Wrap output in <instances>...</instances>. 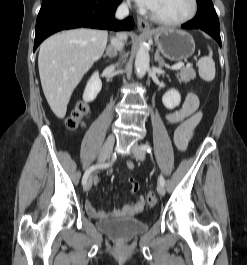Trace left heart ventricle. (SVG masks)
Segmentation results:
<instances>
[{"instance_id":"obj_1","label":"left heart ventricle","mask_w":247,"mask_h":265,"mask_svg":"<svg viewBox=\"0 0 247 265\" xmlns=\"http://www.w3.org/2000/svg\"><path fill=\"white\" fill-rule=\"evenodd\" d=\"M191 9V0H156L150 8L152 12L165 19H180Z\"/></svg>"}]
</instances>
